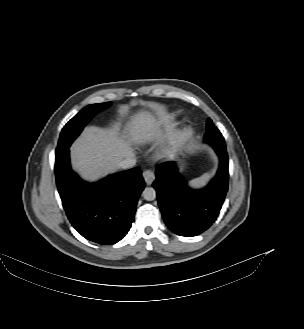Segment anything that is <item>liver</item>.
<instances>
[{"label":"liver","mask_w":304,"mask_h":329,"mask_svg":"<svg viewBox=\"0 0 304 329\" xmlns=\"http://www.w3.org/2000/svg\"><path fill=\"white\" fill-rule=\"evenodd\" d=\"M151 107L156 113H164L160 104ZM160 126L153 114L141 111L127 124L125 135H120L118 123L110 128L87 127L71 147L73 167L84 179L94 181L115 171L122 159L133 157L132 144L160 138Z\"/></svg>","instance_id":"6515ba94"}]
</instances>
